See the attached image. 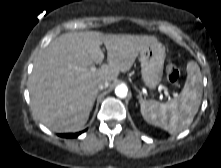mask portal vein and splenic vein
<instances>
[{
    "instance_id": "18ae733b",
    "label": "portal vein and splenic vein",
    "mask_w": 221,
    "mask_h": 168,
    "mask_svg": "<svg viewBox=\"0 0 221 168\" xmlns=\"http://www.w3.org/2000/svg\"><path fill=\"white\" fill-rule=\"evenodd\" d=\"M91 70H92V71H95V70H96V67L92 66V67H91ZM164 94H165L166 98H167L168 100H170V95H169V93H168L167 90L164 91Z\"/></svg>"
}]
</instances>
